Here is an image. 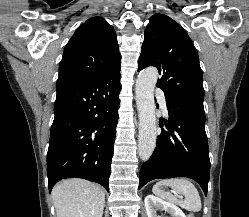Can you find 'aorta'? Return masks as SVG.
<instances>
[{
  "label": "aorta",
  "instance_id": "aorta-1",
  "mask_svg": "<svg viewBox=\"0 0 249 217\" xmlns=\"http://www.w3.org/2000/svg\"><path fill=\"white\" fill-rule=\"evenodd\" d=\"M157 79V69L148 67L138 75L136 80L135 93L139 113L138 154L143 161L150 158L156 146L154 88Z\"/></svg>",
  "mask_w": 249,
  "mask_h": 217
}]
</instances>
